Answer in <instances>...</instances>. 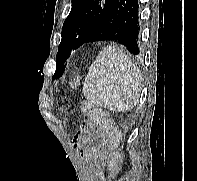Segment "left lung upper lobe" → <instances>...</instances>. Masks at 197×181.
I'll list each match as a JSON object with an SVG mask.
<instances>
[{
	"instance_id": "obj_1",
	"label": "left lung upper lobe",
	"mask_w": 197,
	"mask_h": 181,
	"mask_svg": "<svg viewBox=\"0 0 197 181\" xmlns=\"http://www.w3.org/2000/svg\"><path fill=\"white\" fill-rule=\"evenodd\" d=\"M113 0H72V9L62 27L53 79L62 76L70 55L90 41L92 34Z\"/></svg>"
}]
</instances>
